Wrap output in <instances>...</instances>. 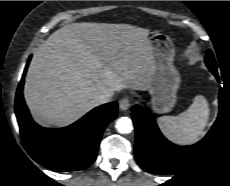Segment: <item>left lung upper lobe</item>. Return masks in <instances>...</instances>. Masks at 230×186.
Segmentation results:
<instances>
[{
	"label": "left lung upper lobe",
	"instance_id": "5c2ea615",
	"mask_svg": "<svg viewBox=\"0 0 230 186\" xmlns=\"http://www.w3.org/2000/svg\"><path fill=\"white\" fill-rule=\"evenodd\" d=\"M205 63L213 74L217 73V68H216V64L214 61V57L210 50L207 51V54L205 57Z\"/></svg>",
	"mask_w": 230,
	"mask_h": 186
}]
</instances>
